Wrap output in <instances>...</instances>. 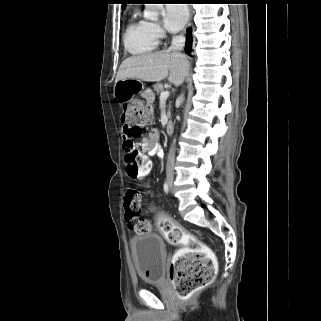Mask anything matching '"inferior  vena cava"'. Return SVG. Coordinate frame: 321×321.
Returning a JSON list of instances; mask_svg holds the SVG:
<instances>
[{"instance_id":"602c4592","label":"inferior vena cava","mask_w":321,"mask_h":321,"mask_svg":"<svg viewBox=\"0 0 321 321\" xmlns=\"http://www.w3.org/2000/svg\"><path fill=\"white\" fill-rule=\"evenodd\" d=\"M185 44V37L183 35H176L173 36L171 46L169 50L181 51ZM182 96L179 97V101L182 102ZM175 140L170 148L167 165H166V172L167 175L173 176L174 174V162H175V150H174Z\"/></svg>"}]
</instances>
